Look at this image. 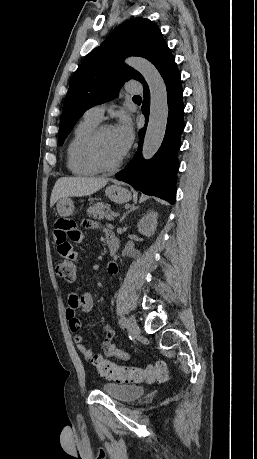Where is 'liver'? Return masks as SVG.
<instances>
[{"label": "liver", "instance_id": "6515ba94", "mask_svg": "<svg viewBox=\"0 0 257 459\" xmlns=\"http://www.w3.org/2000/svg\"><path fill=\"white\" fill-rule=\"evenodd\" d=\"M104 178L92 177H62L59 178L52 190L50 206H53L60 198L82 197L91 195L107 184Z\"/></svg>", "mask_w": 257, "mask_h": 459}]
</instances>
